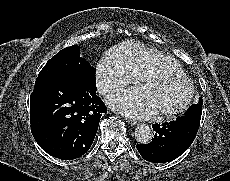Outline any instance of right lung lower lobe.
I'll return each instance as SVG.
<instances>
[{
  "mask_svg": "<svg viewBox=\"0 0 230 181\" xmlns=\"http://www.w3.org/2000/svg\"><path fill=\"white\" fill-rule=\"evenodd\" d=\"M106 111L96 85L73 77L45 78L35 82L30 96L31 131L49 155L76 159L91 147Z\"/></svg>",
  "mask_w": 230,
  "mask_h": 181,
  "instance_id": "1",
  "label": "right lung lower lobe"
}]
</instances>
